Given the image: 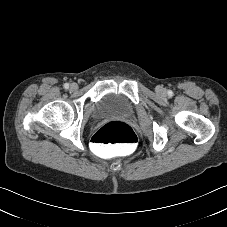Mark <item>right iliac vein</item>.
<instances>
[{"label": "right iliac vein", "instance_id": "1", "mask_svg": "<svg viewBox=\"0 0 227 227\" xmlns=\"http://www.w3.org/2000/svg\"><path fill=\"white\" fill-rule=\"evenodd\" d=\"M77 89H78V85H77L76 83H72V84L70 85V90L75 91V90H77Z\"/></svg>", "mask_w": 227, "mask_h": 227}]
</instances>
